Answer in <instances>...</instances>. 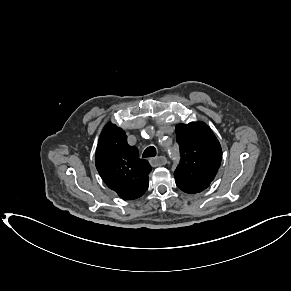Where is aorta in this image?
Listing matches in <instances>:
<instances>
[{"mask_svg":"<svg viewBox=\"0 0 291 291\" xmlns=\"http://www.w3.org/2000/svg\"><path fill=\"white\" fill-rule=\"evenodd\" d=\"M166 151L169 155H172L173 154V148H166Z\"/></svg>","mask_w":291,"mask_h":291,"instance_id":"obj_1","label":"aorta"}]
</instances>
